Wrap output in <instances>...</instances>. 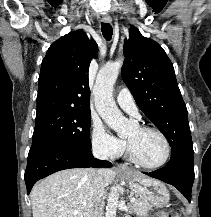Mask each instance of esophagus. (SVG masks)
Returning <instances> with one entry per match:
<instances>
[{
	"label": "esophagus",
	"mask_w": 211,
	"mask_h": 217,
	"mask_svg": "<svg viewBox=\"0 0 211 217\" xmlns=\"http://www.w3.org/2000/svg\"><path fill=\"white\" fill-rule=\"evenodd\" d=\"M102 21L104 23H111L112 18L109 15H104V16H102ZM117 169L119 171H128L129 170L128 167L125 164H118Z\"/></svg>",
	"instance_id": "esophagus-1"
}]
</instances>
